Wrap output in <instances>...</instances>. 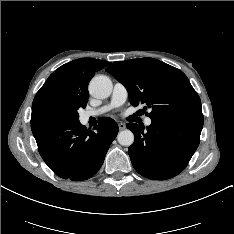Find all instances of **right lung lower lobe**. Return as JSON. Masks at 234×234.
<instances>
[{
    "mask_svg": "<svg viewBox=\"0 0 234 234\" xmlns=\"http://www.w3.org/2000/svg\"><path fill=\"white\" fill-rule=\"evenodd\" d=\"M95 131L79 121L44 119L31 125L39 153L59 177L73 181L94 176L118 133L117 124L101 117Z\"/></svg>",
    "mask_w": 234,
    "mask_h": 234,
    "instance_id": "98d812e1",
    "label": "right lung lower lobe"
}]
</instances>
